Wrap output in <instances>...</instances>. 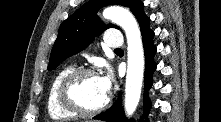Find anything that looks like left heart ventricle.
I'll return each instance as SVG.
<instances>
[{"label":"left heart ventricle","mask_w":221,"mask_h":122,"mask_svg":"<svg viewBox=\"0 0 221 122\" xmlns=\"http://www.w3.org/2000/svg\"><path fill=\"white\" fill-rule=\"evenodd\" d=\"M73 96L85 108H95L106 98L98 76H84L73 87Z\"/></svg>","instance_id":"b2bd125f"}]
</instances>
